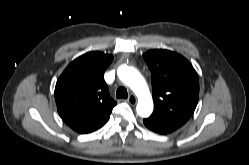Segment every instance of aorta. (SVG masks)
<instances>
[{"label": "aorta", "instance_id": "obj_1", "mask_svg": "<svg viewBox=\"0 0 249 165\" xmlns=\"http://www.w3.org/2000/svg\"><path fill=\"white\" fill-rule=\"evenodd\" d=\"M119 78L128 85L138 97L137 114L143 118L153 112V100L148 85L141 74L132 67H123L119 71Z\"/></svg>", "mask_w": 249, "mask_h": 165}]
</instances>
